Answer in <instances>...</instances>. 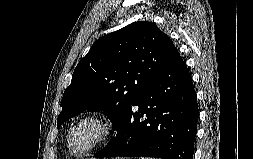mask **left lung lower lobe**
<instances>
[{
  "mask_svg": "<svg viewBox=\"0 0 253 159\" xmlns=\"http://www.w3.org/2000/svg\"><path fill=\"white\" fill-rule=\"evenodd\" d=\"M198 115L191 75L177 53L146 86L116 137L95 157L193 159Z\"/></svg>",
  "mask_w": 253,
  "mask_h": 159,
  "instance_id": "left-lung-lower-lobe-1",
  "label": "left lung lower lobe"
}]
</instances>
